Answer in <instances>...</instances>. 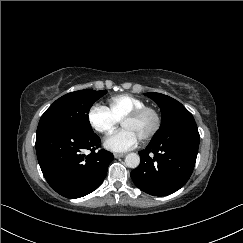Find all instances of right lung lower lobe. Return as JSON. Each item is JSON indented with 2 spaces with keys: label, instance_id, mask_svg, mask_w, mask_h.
Here are the masks:
<instances>
[{
  "label": "right lung lower lobe",
  "instance_id": "obj_1",
  "mask_svg": "<svg viewBox=\"0 0 243 243\" xmlns=\"http://www.w3.org/2000/svg\"><path fill=\"white\" fill-rule=\"evenodd\" d=\"M94 132L83 133L62 128L36 134V153L48 184L67 198L83 197L103 182L113 154L100 146ZM90 150L89 155L84 151Z\"/></svg>",
  "mask_w": 243,
  "mask_h": 243
}]
</instances>
